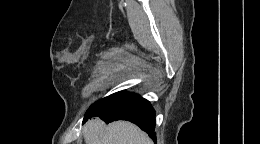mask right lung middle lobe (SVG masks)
Wrapping results in <instances>:
<instances>
[{
  "label": "right lung middle lobe",
  "mask_w": 260,
  "mask_h": 144,
  "mask_svg": "<svg viewBox=\"0 0 260 144\" xmlns=\"http://www.w3.org/2000/svg\"><path fill=\"white\" fill-rule=\"evenodd\" d=\"M119 92L117 93H114V94H111L99 101H97L96 103H94L86 112L85 114V117L90 115L93 111H95L98 107H100L101 105H103L104 103H106L108 100H110L112 97H114L116 94H118Z\"/></svg>",
  "instance_id": "1"
}]
</instances>
